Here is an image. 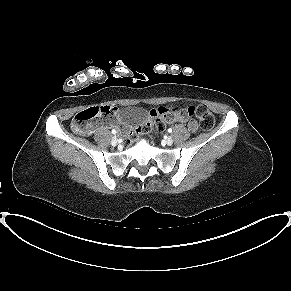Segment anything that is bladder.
I'll use <instances>...</instances> for the list:
<instances>
[{
    "mask_svg": "<svg viewBox=\"0 0 291 291\" xmlns=\"http://www.w3.org/2000/svg\"><path fill=\"white\" fill-rule=\"evenodd\" d=\"M145 116L144 110L139 107H127L122 110L119 117L121 124L133 126L138 124Z\"/></svg>",
    "mask_w": 291,
    "mask_h": 291,
    "instance_id": "bladder-1",
    "label": "bladder"
}]
</instances>
